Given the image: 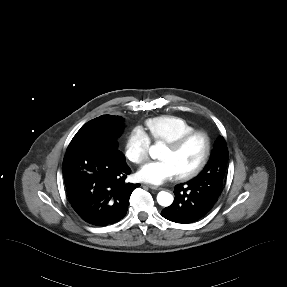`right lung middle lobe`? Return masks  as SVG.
<instances>
[{"mask_svg": "<svg viewBox=\"0 0 287 287\" xmlns=\"http://www.w3.org/2000/svg\"><path fill=\"white\" fill-rule=\"evenodd\" d=\"M124 130V120L119 116L102 115L87 122L73 137L67 149L81 146L103 147L116 151L118 138Z\"/></svg>", "mask_w": 287, "mask_h": 287, "instance_id": "dd1d6c3e", "label": "right lung middle lobe"}]
</instances>
